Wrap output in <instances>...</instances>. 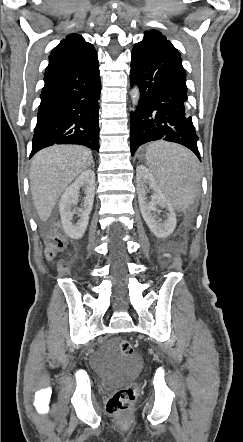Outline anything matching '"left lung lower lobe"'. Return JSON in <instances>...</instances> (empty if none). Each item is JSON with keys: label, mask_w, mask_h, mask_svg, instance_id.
<instances>
[{"label": "left lung lower lobe", "mask_w": 243, "mask_h": 442, "mask_svg": "<svg viewBox=\"0 0 243 442\" xmlns=\"http://www.w3.org/2000/svg\"><path fill=\"white\" fill-rule=\"evenodd\" d=\"M130 79L141 93L131 113V154L144 143L165 140L186 146L200 159L198 136L185 110L186 74L178 50L160 35H145L133 47Z\"/></svg>", "instance_id": "1"}]
</instances>
